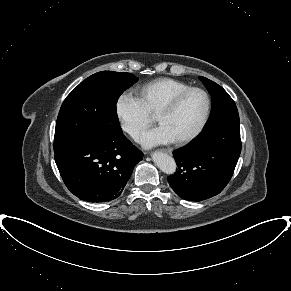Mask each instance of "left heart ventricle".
Wrapping results in <instances>:
<instances>
[{"mask_svg": "<svg viewBox=\"0 0 291 291\" xmlns=\"http://www.w3.org/2000/svg\"><path fill=\"white\" fill-rule=\"evenodd\" d=\"M204 108V96L199 92H191L171 113L161 116L158 123L168 131L175 141L194 131L202 118Z\"/></svg>", "mask_w": 291, "mask_h": 291, "instance_id": "1", "label": "left heart ventricle"}]
</instances>
